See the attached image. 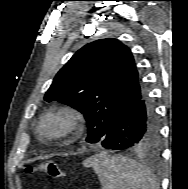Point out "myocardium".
Wrapping results in <instances>:
<instances>
[{
    "label": "myocardium",
    "instance_id": "f54148a6",
    "mask_svg": "<svg viewBox=\"0 0 188 189\" xmlns=\"http://www.w3.org/2000/svg\"><path fill=\"white\" fill-rule=\"evenodd\" d=\"M49 122L56 125L46 129ZM84 123L82 112L71 104L52 106L44 110L35 124V134L38 139L45 142L58 141L77 135Z\"/></svg>",
    "mask_w": 188,
    "mask_h": 189
}]
</instances>
